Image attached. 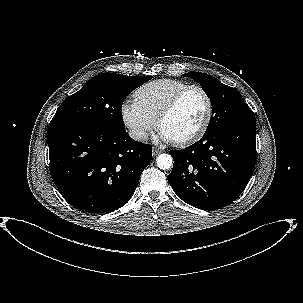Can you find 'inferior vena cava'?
I'll use <instances>...</instances> for the list:
<instances>
[{
	"label": "inferior vena cava",
	"mask_w": 303,
	"mask_h": 303,
	"mask_svg": "<svg viewBox=\"0 0 303 303\" xmlns=\"http://www.w3.org/2000/svg\"><path fill=\"white\" fill-rule=\"evenodd\" d=\"M129 136L136 141H145L148 138L147 133L140 129H131Z\"/></svg>",
	"instance_id": "602c4592"
}]
</instances>
